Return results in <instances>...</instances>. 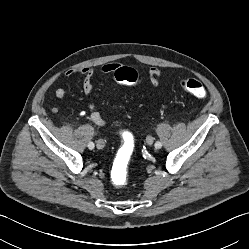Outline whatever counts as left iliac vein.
<instances>
[{"mask_svg":"<svg viewBox=\"0 0 249 249\" xmlns=\"http://www.w3.org/2000/svg\"><path fill=\"white\" fill-rule=\"evenodd\" d=\"M153 141H154V138L152 136H147L146 138V142L148 145H152L153 144Z\"/></svg>","mask_w":249,"mask_h":249,"instance_id":"obj_1","label":"left iliac vein"}]
</instances>
